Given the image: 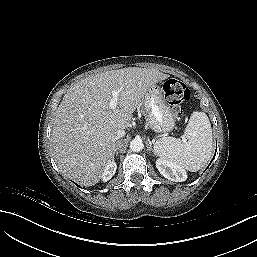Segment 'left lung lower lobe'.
Returning <instances> with one entry per match:
<instances>
[{
    "label": "left lung lower lobe",
    "instance_id": "0a47b994",
    "mask_svg": "<svg viewBox=\"0 0 257 257\" xmlns=\"http://www.w3.org/2000/svg\"><path fill=\"white\" fill-rule=\"evenodd\" d=\"M215 155H216V152H215ZM215 155H214V157H215ZM214 157H213V159H214ZM213 159H212V160H213ZM212 160H211V162H212ZM211 162H210V163H211ZM209 165H210V164H209Z\"/></svg>",
    "mask_w": 257,
    "mask_h": 257
}]
</instances>
